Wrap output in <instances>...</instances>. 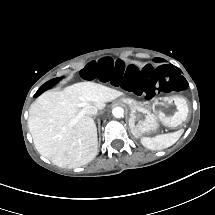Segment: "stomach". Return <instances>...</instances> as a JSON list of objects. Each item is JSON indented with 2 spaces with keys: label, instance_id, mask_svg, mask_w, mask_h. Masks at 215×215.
<instances>
[{
  "label": "stomach",
  "instance_id": "0dacf381",
  "mask_svg": "<svg viewBox=\"0 0 215 215\" xmlns=\"http://www.w3.org/2000/svg\"><path fill=\"white\" fill-rule=\"evenodd\" d=\"M120 102L130 109L129 127L137 138L156 132L160 125L181 133L189 115L187 101L177 95L158 97L152 106L128 97H122Z\"/></svg>",
  "mask_w": 215,
  "mask_h": 215
}]
</instances>
